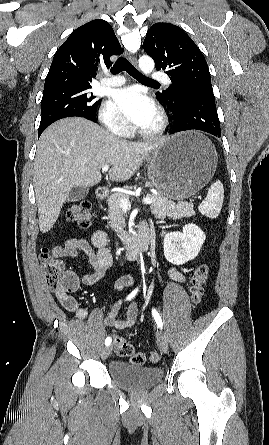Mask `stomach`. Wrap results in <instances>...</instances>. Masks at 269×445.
Segmentation results:
<instances>
[{
  "label": "stomach",
  "mask_w": 269,
  "mask_h": 445,
  "mask_svg": "<svg viewBox=\"0 0 269 445\" xmlns=\"http://www.w3.org/2000/svg\"><path fill=\"white\" fill-rule=\"evenodd\" d=\"M217 152L202 134L188 131L168 137L146 158L152 185L167 199L182 201L200 191L217 168Z\"/></svg>",
  "instance_id": "1"
}]
</instances>
